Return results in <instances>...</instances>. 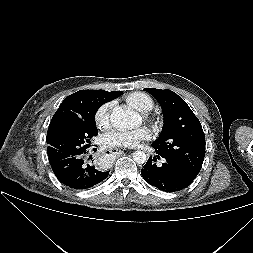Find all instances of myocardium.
<instances>
[{
  "label": "myocardium",
  "instance_id": "1",
  "mask_svg": "<svg viewBox=\"0 0 253 253\" xmlns=\"http://www.w3.org/2000/svg\"><path fill=\"white\" fill-rule=\"evenodd\" d=\"M144 118L154 128H156L159 124V120L156 117L150 115L149 113H145Z\"/></svg>",
  "mask_w": 253,
  "mask_h": 253
}]
</instances>
